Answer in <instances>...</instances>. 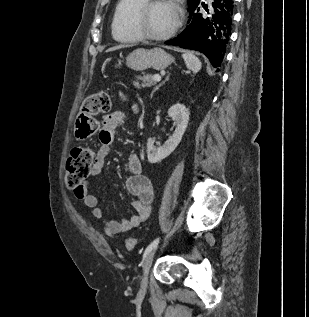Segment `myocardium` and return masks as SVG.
<instances>
[{
	"label": "myocardium",
	"instance_id": "obj_1",
	"mask_svg": "<svg viewBox=\"0 0 309 317\" xmlns=\"http://www.w3.org/2000/svg\"><path fill=\"white\" fill-rule=\"evenodd\" d=\"M161 2H169L166 0H145L136 10L134 15V28L142 39L149 41H165L174 36L182 25L181 11L174 5L177 11V20L175 25L167 33L162 35H155L150 33L145 27V18L150 9ZM171 3V2H170ZM172 4V3H171Z\"/></svg>",
	"mask_w": 309,
	"mask_h": 317
}]
</instances>
